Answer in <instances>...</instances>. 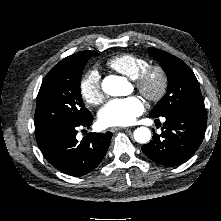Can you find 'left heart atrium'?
<instances>
[{"label":"left heart atrium","mask_w":221,"mask_h":221,"mask_svg":"<svg viewBox=\"0 0 221 221\" xmlns=\"http://www.w3.org/2000/svg\"><path fill=\"white\" fill-rule=\"evenodd\" d=\"M144 112V103L138 96L108 101L99 111V122L105 127L127 126Z\"/></svg>","instance_id":"obj_1"}]
</instances>
